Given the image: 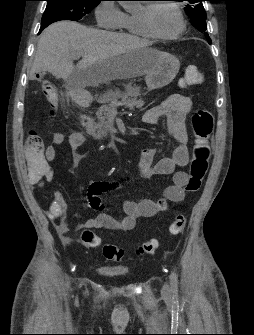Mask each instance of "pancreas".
Returning a JSON list of instances; mask_svg holds the SVG:
<instances>
[{
  "instance_id": "cf45deb5",
  "label": "pancreas",
  "mask_w": 254,
  "mask_h": 335,
  "mask_svg": "<svg viewBox=\"0 0 254 335\" xmlns=\"http://www.w3.org/2000/svg\"><path fill=\"white\" fill-rule=\"evenodd\" d=\"M140 89L136 87H129L125 93L121 92H108L103 98H101V103L103 105L97 111V120L89 118L85 127L88 133L101 137L106 135L108 131L107 118L109 112L113 109H117L119 106H125L130 109H143L144 101L142 99H137V92Z\"/></svg>"
}]
</instances>
